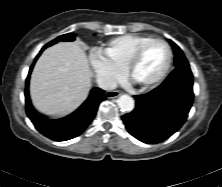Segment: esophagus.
<instances>
[{"label": "esophagus", "instance_id": "1", "mask_svg": "<svg viewBox=\"0 0 222 187\" xmlns=\"http://www.w3.org/2000/svg\"><path fill=\"white\" fill-rule=\"evenodd\" d=\"M120 95L119 91H107L106 92V97L107 98H116Z\"/></svg>", "mask_w": 222, "mask_h": 187}]
</instances>
